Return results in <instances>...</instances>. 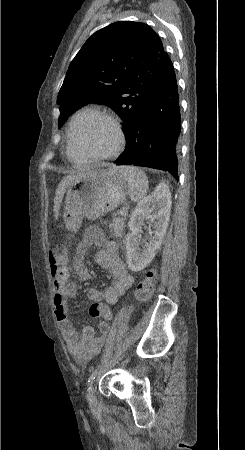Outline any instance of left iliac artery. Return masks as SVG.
Masks as SVG:
<instances>
[{"mask_svg": "<svg viewBox=\"0 0 245 450\" xmlns=\"http://www.w3.org/2000/svg\"><path fill=\"white\" fill-rule=\"evenodd\" d=\"M97 373H98V369H95L88 379V391L89 392H90L91 385L93 384V381H94ZM88 398H89V400H91L90 397H88Z\"/></svg>", "mask_w": 245, "mask_h": 450, "instance_id": "44dca946", "label": "left iliac artery"}]
</instances>
